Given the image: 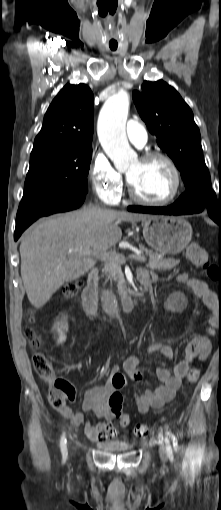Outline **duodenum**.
Returning <instances> with one entry per match:
<instances>
[{"label": "duodenum", "mask_w": 221, "mask_h": 510, "mask_svg": "<svg viewBox=\"0 0 221 510\" xmlns=\"http://www.w3.org/2000/svg\"><path fill=\"white\" fill-rule=\"evenodd\" d=\"M138 280L144 287L149 285L148 275L144 272V269H139ZM98 281V270H91L88 276L87 285L83 291V309L85 313L92 318L97 317ZM116 302L123 311H130L136 304L135 296L129 292L117 297Z\"/></svg>", "instance_id": "1"}]
</instances>
